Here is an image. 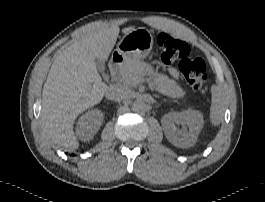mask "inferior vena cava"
<instances>
[{"label": "inferior vena cava", "instance_id": "602c4592", "mask_svg": "<svg viewBox=\"0 0 265 202\" xmlns=\"http://www.w3.org/2000/svg\"><path fill=\"white\" fill-rule=\"evenodd\" d=\"M130 90L120 84H114L108 87L106 91V98L111 101L121 102L129 98Z\"/></svg>", "mask_w": 265, "mask_h": 202}]
</instances>
